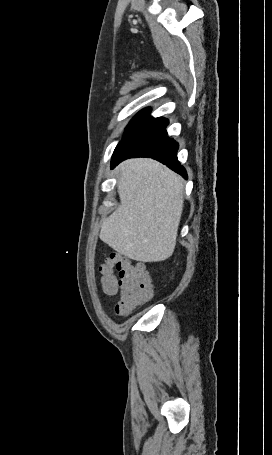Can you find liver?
I'll return each mask as SVG.
<instances>
[{"mask_svg":"<svg viewBox=\"0 0 272 455\" xmlns=\"http://www.w3.org/2000/svg\"><path fill=\"white\" fill-rule=\"evenodd\" d=\"M117 171L120 205L103 221L100 239L136 261L168 259L183 211L181 177L147 158L126 160Z\"/></svg>","mask_w":272,"mask_h":455,"instance_id":"obj_1","label":"liver"}]
</instances>
